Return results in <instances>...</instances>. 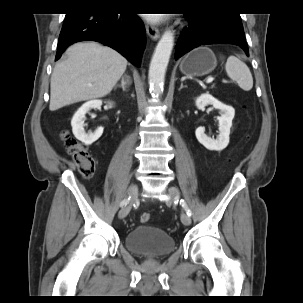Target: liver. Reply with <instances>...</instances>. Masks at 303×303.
I'll return each mask as SVG.
<instances>
[{"label": "liver", "mask_w": 303, "mask_h": 303, "mask_svg": "<svg viewBox=\"0 0 303 303\" xmlns=\"http://www.w3.org/2000/svg\"><path fill=\"white\" fill-rule=\"evenodd\" d=\"M66 55L51 76L50 111L106 96L127 66L122 55L95 42L76 43Z\"/></svg>", "instance_id": "6515ba94"}]
</instances>
